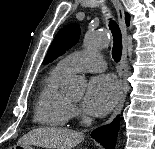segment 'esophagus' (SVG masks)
<instances>
[{"label": "esophagus", "instance_id": "34e87169", "mask_svg": "<svg viewBox=\"0 0 155 149\" xmlns=\"http://www.w3.org/2000/svg\"><path fill=\"white\" fill-rule=\"evenodd\" d=\"M113 3V6L116 10L119 26L122 32V42H123V53L121 57V61L119 64V94L117 98V103L114 108L113 113L109 117V119L106 121V124H110L115 117L120 113L125 97L127 92V66H126V56H127V26L125 23V14H124V8L119 0H111Z\"/></svg>", "mask_w": 155, "mask_h": 149}]
</instances>
